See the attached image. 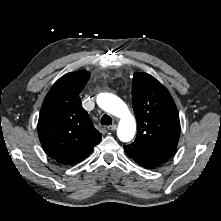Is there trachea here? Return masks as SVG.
<instances>
[{"label": "trachea", "mask_w": 221, "mask_h": 221, "mask_svg": "<svg viewBox=\"0 0 221 221\" xmlns=\"http://www.w3.org/2000/svg\"><path fill=\"white\" fill-rule=\"evenodd\" d=\"M101 124L102 125H111L112 124V118L107 114L103 115L102 118H101Z\"/></svg>", "instance_id": "obj_1"}]
</instances>
